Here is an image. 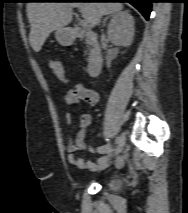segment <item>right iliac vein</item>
Here are the masks:
<instances>
[{"instance_id":"1","label":"right iliac vein","mask_w":188,"mask_h":213,"mask_svg":"<svg viewBox=\"0 0 188 213\" xmlns=\"http://www.w3.org/2000/svg\"><path fill=\"white\" fill-rule=\"evenodd\" d=\"M125 141H126L125 135L122 133L121 136H120V141L117 144L116 154H119L123 150L124 145H125ZM103 168H105V167H103Z\"/></svg>"}]
</instances>
